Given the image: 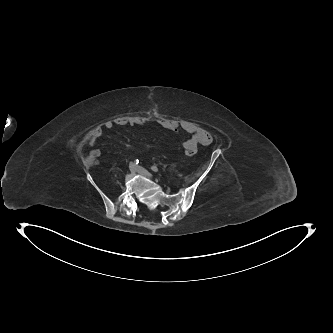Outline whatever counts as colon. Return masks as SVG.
<instances>
[{"label":"colon","instance_id":"obj_1","mask_svg":"<svg viewBox=\"0 0 333 333\" xmlns=\"http://www.w3.org/2000/svg\"><path fill=\"white\" fill-rule=\"evenodd\" d=\"M198 153H199L198 149H195V150H185L184 151V154H185L186 157L196 156ZM85 161H86L87 164H93L95 160H94V157L89 156V157L86 158Z\"/></svg>","mask_w":333,"mask_h":333}]
</instances>
